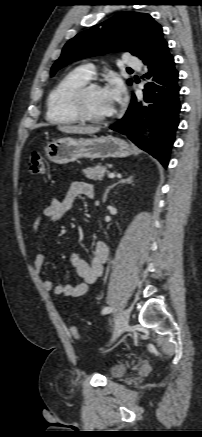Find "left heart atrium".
Listing matches in <instances>:
<instances>
[{
  "instance_id": "39dd6f15",
  "label": "left heart atrium",
  "mask_w": 202,
  "mask_h": 437,
  "mask_svg": "<svg viewBox=\"0 0 202 437\" xmlns=\"http://www.w3.org/2000/svg\"><path fill=\"white\" fill-rule=\"evenodd\" d=\"M104 89L115 105H118L122 101L125 89L120 81L114 80Z\"/></svg>"
}]
</instances>
